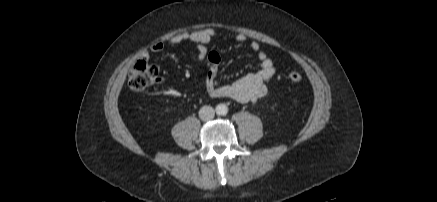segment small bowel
<instances>
[{
	"label": "small bowel",
	"mask_w": 437,
	"mask_h": 202,
	"mask_svg": "<svg viewBox=\"0 0 437 202\" xmlns=\"http://www.w3.org/2000/svg\"><path fill=\"white\" fill-rule=\"evenodd\" d=\"M218 34L210 28L183 32L167 39L169 44L180 45L194 43L197 45V60L206 62L208 66L206 77L207 94L212 98H230L240 103L255 102L267 93V85L276 72L272 58L262 49L257 41L250 43L251 50L256 53L260 67L256 72H250L232 82H224L219 76L220 56L214 50H208L206 45ZM238 42H245L246 35L240 33L235 36ZM164 50L162 42L152 44L144 50L140 56L142 60H148L151 54H158Z\"/></svg>",
	"instance_id": "1"
}]
</instances>
